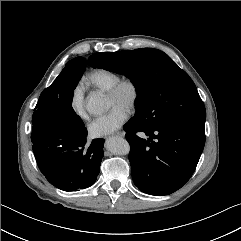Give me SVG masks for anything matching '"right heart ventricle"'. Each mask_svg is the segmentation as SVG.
I'll list each match as a JSON object with an SVG mask.
<instances>
[{"instance_id": "obj_1", "label": "right heart ventricle", "mask_w": 241, "mask_h": 241, "mask_svg": "<svg viewBox=\"0 0 241 241\" xmlns=\"http://www.w3.org/2000/svg\"><path fill=\"white\" fill-rule=\"evenodd\" d=\"M119 79L117 72L105 68L93 69L86 76L90 85L102 91H108Z\"/></svg>"}]
</instances>
